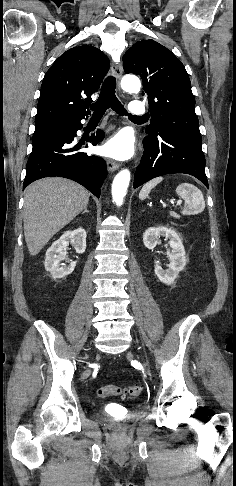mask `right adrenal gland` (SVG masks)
<instances>
[{
  "instance_id": "right-adrenal-gland-1",
  "label": "right adrenal gland",
  "mask_w": 236,
  "mask_h": 486,
  "mask_svg": "<svg viewBox=\"0 0 236 486\" xmlns=\"http://www.w3.org/2000/svg\"><path fill=\"white\" fill-rule=\"evenodd\" d=\"M83 213H89V211L87 210V208H85V210L83 211Z\"/></svg>"
}]
</instances>
